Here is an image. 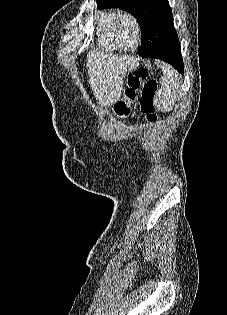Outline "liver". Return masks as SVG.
Segmentation results:
<instances>
[{"instance_id": "liver-1", "label": "liver", "mask_w": 227, "mask_h": 315, "mask_svg": "<svg viewBox=\"0 0 227 315\" xmlns=\"http://www.w3.org/2000/svg\"><path fill=\"white\" fill-rule=\"evenodd\" d=\"M137 66L135 59L112 53L91 51L87 56L89 84L101 107L117 103L126 73Z\"/></svg>"}]
</instances>
